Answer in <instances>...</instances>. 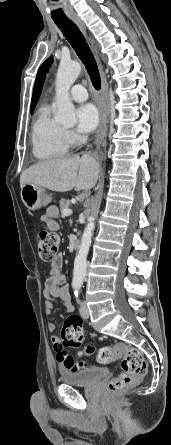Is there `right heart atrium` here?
Wrapping results in <instances>:
<instances>
[{"mask_svg": "<svg viewBox=\"0 0 171 445\" xmlns=\"http://www.w3.org/2000/svg\"><path fill=\"white\" fill-rule=\"evenodd\" d=\"M67 134H68L70 139H75L76 138V136H75V134L73 132H68Z\"/></svg>", "mask_w": 171, "mask_h": 445, "instance_id": "right-heart-atrium-1", "label": "right heart atrium"}]
</instances>
